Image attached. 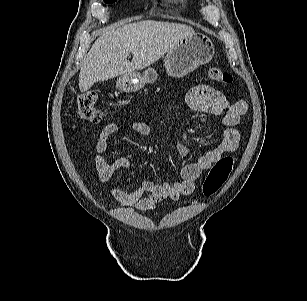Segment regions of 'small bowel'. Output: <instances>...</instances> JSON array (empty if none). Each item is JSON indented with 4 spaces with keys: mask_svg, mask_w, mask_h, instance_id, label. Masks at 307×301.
I'll return each mask as SVG.
<instances>
[{
    "mask_svg": "<svg viewBox=\"0 0 307 301\" xmlns=\"http://www.w3.org/2000/svg\"><path fill=\"white\" fill-rule=\"evenodd\" d=\"M185 101L193 111L222 116L223 139L220 145L185 166L181 170L180 179L174 184L147 180L138 188L111 189L112 198L120 206L146 211L155 208L163 200L176 201L182 195L191 194L197 179L205 171L209 170L224 154L233 153L238 149L240 133L236 126L247 111L248 105L245 102L230 101L221 92L208 85L191 87L185 95ZM118 129L117 123H108L98 135L96 168L101 182H107L117 171L128 169L131 165L130 160L124 156L117 157L111 162L103 157V154L108 151L110 136ZM131 129L145 137L152 134L150 125L142 121L132 122ZM176 147L181 156L190 155V149L183 143L177 142Z\"/></svg>",
    "mask_w": 307,
    "mask_h": 301,
    "instance_id": "small-bowel-1",
    "label": "small bowel"
}]
</instances>
